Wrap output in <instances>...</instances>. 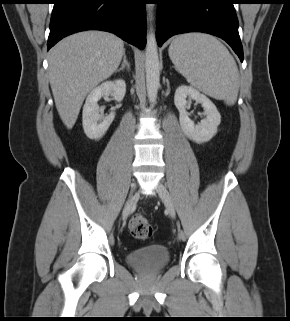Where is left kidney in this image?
<instances>
[{"label":"left kidney","mask_w":290,"mask_h":321,"mask_svg":"<svg viewBox=\"0 0 290 321\" xmlns=\"http://www.w3.org/2000/svg\"><path fill=\"white\" fill-rule=\"evenodd\" d=\"M187 98L201 103L206 118L195 124L186 111ZM174 103L179 111L180 126L185 135L196 143L207 142L217 133V127L221 122V116L212 101L199 91L189 86H180L176 89Z\"/></svg>","instance_id":"left-kidney-1"}]
</instances>
